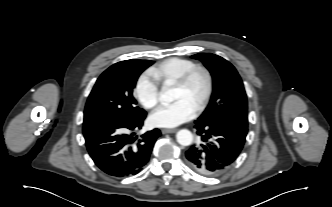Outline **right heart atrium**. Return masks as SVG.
<instances>
[{
	"label": "right heart atrium",
	"mask_w": 332,
	"mask_h": 207,
	"mask_svg": "<svg viewBox=\"0 0 332 207\" xmlns=\"http://www.w3.org/2000/svg\"><path fill=\"white\" fill-rule=\"evenodd\" d=\"M135 94L146 109H153L157 106L159 102V83L150 72H145L139 76L135 85Z\"/></svg>",
	"instance_id": "right-heart-atrium-1"
}]
</instances>
